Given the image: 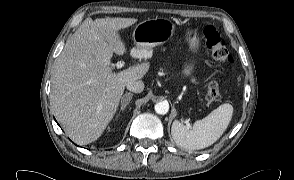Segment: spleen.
Instances as JSON below:
<instances>
[{"label": "spleen", "mask_w": 294, "mask_h": 180, "mask_svg": "<svg viewBox=\"0 0 294 180\" xmlns=\"http://www.w3.org/2000/svg\"><path fill=\"white\" fill-rule=\"evenodd\" d=\"M233 113L232 105L225 103L193 126L178 120L172 124L171 134L178 146L187 150L204 149L215 143L227 129Z\"/></svg>", "instance_id": "spleen-1"}]
</instances>
